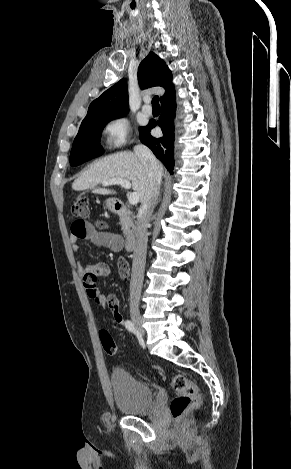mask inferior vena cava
I'll return each mask as SVG.
<instances>
[{"mask_svg":"<svg viewBox=\"0 0 291 469\" xmlns=\"http://www.w3.org/2000/svg\"><path fill=\"white\" fill-rule=\"evenodd\" d=\"M135 155L141 160L148 174L149 188L145 193L141 202L138 213V222L136 227V242L133 253L132 272L130 280V305L138 306L140 301L141 289L143 284V274L146 262L147 251V228L153 213L159 188L161 184V172L159 164L151 152L145 145H137L134 147Z\"/></svg>","mask_w":291,"mask_h":469,"instance_id":"obj_1","label":"inferior vena cava"}]
</instances>
